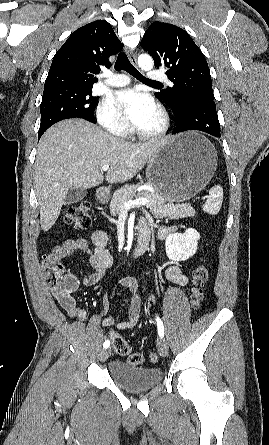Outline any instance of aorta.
Wrapping results in <instances>:
<instances>
[{
	"instance_id": "aorta-1",
	"label": "aorta",
	"mask_w": 269,
	"mask_h": 445,
	"mask_svg": "<svg viewBox=\"0 0 269 445\" xmlns=\"http://www.w3.org/2000/svg\"><path fill=\"white\" fill-rule=\"evenodd\" d=\"M138 65L142 70L149 71L153 68L154 61L149 55L142 54L138 57Z\"/></svg>"
}]
</instances>
